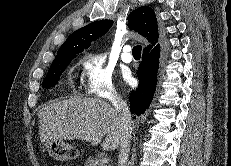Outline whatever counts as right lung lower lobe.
Returning <instances> with one entry per match:
<instances>
[{"label":"right lung lower lobe","mask_w":231,"mask_h":166,"mask_svg":"<svg viewBox=\"0 0 231 166\" xmlns=\"http://www.w3.org/2000/svg\"><path fill=\"white\" fill-rule=\"evenodd\" d=\"M159 57V44L150 51L143 52L142 63L137 72L139 85L129 96L130 110L136 115L144 113L152 102L157 84Z\"/></svg>","instance_id":"right-lung-lower-lobe-1"}]
</instances>
